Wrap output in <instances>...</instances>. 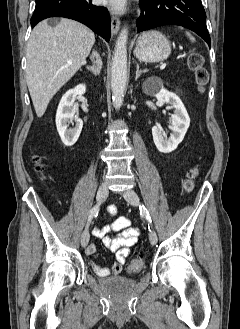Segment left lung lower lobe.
Segmentation results:
<instances>
[{"mask_svg":"<svg viewBox=\"0 0 240 329\" xmlns=\"http://www.w3.org/2000/svg\"><path fill=\"white\" fill-rule=\"evenodd\" d=\"M140 10L137 32L163 25H179L194 31L211 46L201 0H141Z\"/></svg>","mask_w":240,"mask_h":329,"instance_id":"obj_1","label":"left lung lower lobe"}]
</instances>
